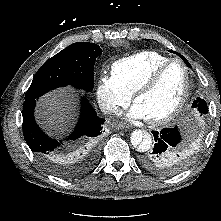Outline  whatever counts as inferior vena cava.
I'll use <instances>...</instances> for the list:
<instances>
[{"instance_id":"obj_1","label":"inferior vena cava","mask_w":221,"mask_h":221,"mask_svg":"<svg viewBox=\"0 0 221 221\" xmlns=\"http://www.w3.org/2000/svg\"><path fill=\"white\" fill-rule=\"evenodd\" d=\"M101 111L105 114L117 113L118 109L111 103H106L101 106Z\"/></svg>"}]
</instances>
